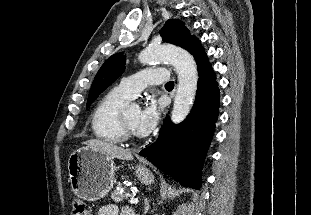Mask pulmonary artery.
<instances>
[{"label": "pulmonary artery", "instance_id": "e3ab8cb5", "mask_svg": "<svg viewBox=\"0 0 311 215\" xmlns=\"http://www.w3.org/2000/svg\"><path fill=\"white\" fill-rule=\"evenodd\" d=\"M167 79L168 71L166 69L147 68L123 78L116 88L132 99L147 86L161 84Z\"/></svg>", "mask_w": 311, "mask_h": 215}]
</instances>
